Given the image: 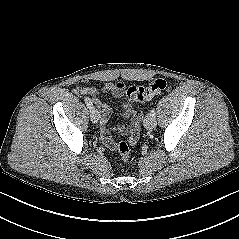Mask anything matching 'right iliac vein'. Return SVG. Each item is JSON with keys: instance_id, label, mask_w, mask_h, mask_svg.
Here are the masks:
<instances>
[{"instance_id": "1", "label": "right iliac vein", "mask_w": 239, "mask_h": 239, "mask_svg": "<svg viewBox=\"0 0 239 239\" xmlns=\"http://www.w3.org/2000/svg\"><path fill=\"white\" fill-rule=\"evenodd\" d=\"M100 116H101L100 112L97 109L95 108L91 109L90 118L93 123H98Z\"/></svg>"}]
</instances>
